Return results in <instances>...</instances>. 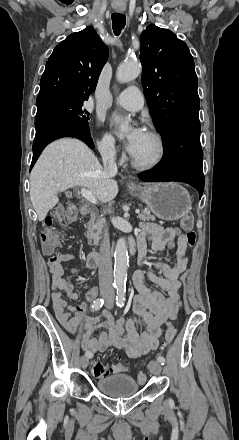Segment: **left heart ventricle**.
Instances as JSON below:
<instances>
[{
	"instance_id": "left-heart-ventricle-1",
	"label": "left heart ventricle",
	"mask_w": 239,
	"mask_h": 440,
	"mask_svg": "<svg viewBox=\"0 0 239 440\" xmlns=\"http://www.w3.org/2000/svg\"><path fill=\"white\" fill-rule=\"evenodd\" d=\"M157 153L158 148L155 140L146 133L133 155L139 160L148 163L155 159Z\"/></svg>"
}]
</instances>
